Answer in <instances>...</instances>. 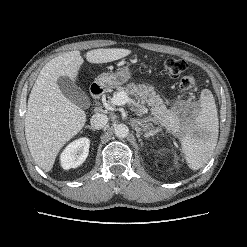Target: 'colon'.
I'll list each match as a JSON object with an SVG mask.
<instances>
[{
    "mask_svg": "<svg viewBox=\"0 0 247 247\" xmlns=\"http://www.w3.org/2000/svg\"><path fill=\"white\" fill-rule=\"evenodd\" d=\"M164 67L171 78H177L187 69V63L181 59L169 58L165 60ZM195 84L196 78L192 75H184L180 79V88L182 90H191Z\"/></svg>",
    "mask_w": 247,
    "mask_h": 247,
    "instance_id": "colon-1",
    "label": "colon"
}]
</instances>
